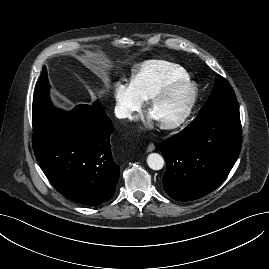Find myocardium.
<instances>
[{
	"mask_svg": "<svg viewBox=\"0 0 269 269\" xmlns=\"http://www.w3.org/2000/svg\"><path fill=\"white\" fill-rule=\"evenodd\" d=\"M184 90L187 93V99L183 106L180 115L174 120L168 122H161L159 126L164 130H173L181 127L190 117L192 110L196 104L198 97V88L196 84L190 80H184L180 82L173 83L156 94H154L149 100L147 109L150 112L158 103L172 95L173 93Z\"/></svg>",
	"mask_w": 269,
	"mask_h": 269,
	"instance_id": "myocardium-1",
	"label": "myocardium"
}]
</instances>
